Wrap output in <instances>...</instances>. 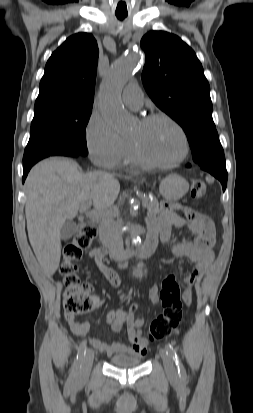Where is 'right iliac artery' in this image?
Masks as SVG:
<instances>
[{"label":"right iliac artery","instance_id":"obj_1","mask_svg":"<svg viewBox=\"0 0 253 413\" xmlns=\"http://www.w3.org/2000/svg\"><path fill=\"white\" fill-rule=\"evenodd\" d=\"M85 354H86V342L82 341L78 349L76 360L71 370V374L69 377L70 382L78 375L80 368L82 366V362L84 360Z\"/></svg>","mask_w":253,"mask_h":413}]
</instances>
